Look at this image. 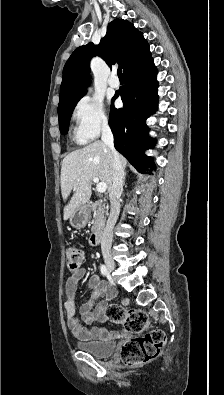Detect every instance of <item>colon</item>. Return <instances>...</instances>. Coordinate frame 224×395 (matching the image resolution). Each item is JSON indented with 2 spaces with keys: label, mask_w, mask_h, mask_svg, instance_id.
<instances>
[{
  "label": "colon",
  "mask_w": 224,
  "mask_h": 395,
  "mask_svg": "<svg viewBox=\"0 0 224 395\" xmlns=\"http://www.w3.org/2000/svg\"><path fill=\"white\" fill-rule=\"evenodd\" d=\"M84 259L83 252L71 246L66 251V261L70 271H77ZM106 317L113 323L121 324L136 336L124 342L119 350L120 359L127 365L139 366L156 359L165 343V333L149 327L145 312L139 309H126L117 304L106 307Z\"/></svg>",
  "instance_id": "1"
}]
</instances>
